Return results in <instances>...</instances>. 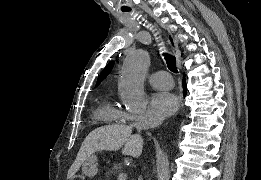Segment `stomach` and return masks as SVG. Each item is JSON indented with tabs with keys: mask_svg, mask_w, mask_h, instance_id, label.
I'll return each instance as SVG.
<instances>
[{
	"mask_svg": "<svg viewBox=\"0 0 261 180\" xmlns=\"http://www.w3.org/2000/svg\"><path fill=\"white\" fill-rule=\"evenodd\" d=\"M82 171L87 177H94L98 172V160L95 155L89 156L82 165Z\"/></svg>",
	"mask_w": 261,
	"mask_h": 180,
	"instance_id": "obj_1",
	"label": "stomach"
}]
</instances>
